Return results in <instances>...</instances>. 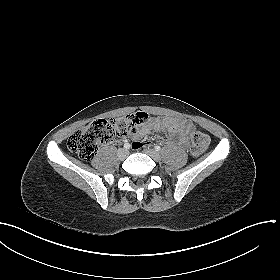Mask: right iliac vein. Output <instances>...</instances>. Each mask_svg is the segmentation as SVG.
<instances>
[{
	"label": "right iliac vein",
	"mask_w": 280,
	"mask_h": 280,
	"mask_svg": "<svg viewBox=\"0 0 280 280\" xmlns=\"http://www.w3.org/2000/svg\"><path fill=\"white\" fill-rule=\"evenodd\" d=\"M129 152L126 149H120L118 151V157L121 160H124L128 156Z\"/></svg>",
	"instance_id": "1"
}]
</instances>
